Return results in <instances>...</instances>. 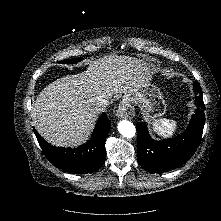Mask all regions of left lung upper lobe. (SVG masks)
<instances>
[{
  "label": "left lung upper lobe",
  "mask_w": 221,
  "mask_h": 221,
  "mask_svg": "<svg viewBox=\"0 0 221 221\" xmlns=\"http://www.w3.org/2000/svg\"><path fill=\"white\" fill-rule=\"evenodd\" d=\"M194 88H195L196 92L201 93V87H200V84L198 82L195 83Z\"/></svg>",
  "instance_id": "left-lung-upper-lobe-1"
}]
</instances>
